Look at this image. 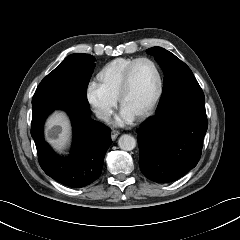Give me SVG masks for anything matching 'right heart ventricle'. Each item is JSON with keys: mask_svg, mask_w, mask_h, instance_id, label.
I'll return each instance as SVG.
<instances>
[{"mask_svg": "<svg viewBox=\"0 0 240 240\" xmlns=\"http://www.w3.org/2000/svg\"><path fill=\"white\" fill-rule=\"evenodd\" d=\"M136 58H116L105 64L97 73L98 85L111 97L117 99L122 78L127 67Z\"/></svg>", "mask_w": 240, "mask_h": 240, "instance_id": "right-heart-ventricle-1", "label": "right heart ventricle"}]
</instances>
